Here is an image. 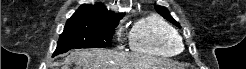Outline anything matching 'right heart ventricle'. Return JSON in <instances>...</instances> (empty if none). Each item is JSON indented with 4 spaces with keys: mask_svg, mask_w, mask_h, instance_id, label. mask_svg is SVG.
I'll return each mask as SVG.
<instances>
[{
    "mask_svg": "<svg viewBox=\"0 0 246 69\" xmlns=\"http://www.w3.org/2000/svg\"><path fill=\"white\" fill-rule=\"evenodd\" d=\"M129 45L133 51L156 56H171L182 48L176 29L156 13L135 22L129 33Z\"/></svg>",
    "mask_w": 246,
    "mask_h": 69,
    "instance_id": "e07e8e85",
    "label": "right heart ventricle"
}]
</instances>
